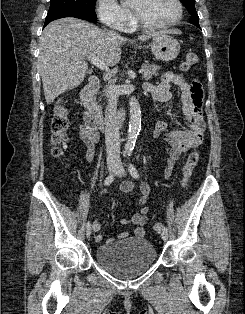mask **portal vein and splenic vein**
<instances>
[{"label": "portal vein and splenic vein", "instance_id": "18ae733b", "mask_svg": "<svg viewBox=\"0 0 245 314\" xmlns=\"http://www.w3.org/2000/svg\"><path fill=\"white\" fill-rule=\"evenodd\" d=\"M87 59H88L92 64H94L95 66H97L98 68L109 72V67H108V65H107L105 62H103L102 60H100L98 57H91V56H88ZM141 73H143V69H140V70H139V74H141Z\"/></svg>", "mask_w": 245, "mask_h": 314}]
</instances>
